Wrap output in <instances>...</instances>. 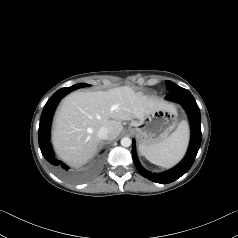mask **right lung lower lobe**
Returning <instances> with one entry per match:
<instances>
[{"label":"right lung lower lobe","instance_id":"right-lung-lower-lobe-1","mask_svg":"<svg viewBox=\"0 0 238 238\" xmlns=\"http://www.w3.org/2000/svg\"><path fill=\"white\" fill-rule=\"evenodd\" d=\"M78 88L79 87H77V85H73L71 87L62 88L56 91L47 101L40 118L38 139L41 152L45 159L49 161L52 165L62 167L65 170H68V166H66L63 162H61L54 156V152L49 141L50 126L53 113L59 101L62 99V97Z\"/></svg>","mask_w":238,"mask_h":238}]
</instances>
